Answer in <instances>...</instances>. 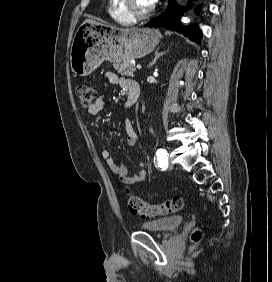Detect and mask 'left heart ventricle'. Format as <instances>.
Segmentation results:
<instances>
[{
	"instance_id": "1",
	"label": "left heart ventricle",
	"mask_w": 272,
	"mask_h": 282,
	"mask_svg": "<svg viewBox=\"0 0 272 282\" xmlns=\"http://www.w3.org/2000/svg\"><path fill=\"white\" fill-rule=\"evenodd\" d=\"M133 3L138 11H146L152 7L150 0H133Z\"/></svg>"
}]
</instances>
